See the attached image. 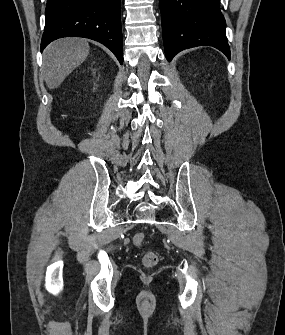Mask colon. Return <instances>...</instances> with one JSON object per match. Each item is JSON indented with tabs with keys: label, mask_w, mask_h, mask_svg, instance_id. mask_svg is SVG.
<instances>
[{
	"label": "colon",
	"mask_w": 285,
	"mask_h": 335,
	"mask_svg": "<svg viewBox=\"0 0 285 335\" xmlns=\"http://www.w3.org/2000/svg\"><path fill=\"white\" fill-rule=\"evenodd\" d=\"M133 242L137 247H142L146 243V235L142 232L136 233L133 237ZM159 261L157 253L149 251L143 256V265L147 268L154 267Z\"/></svg>",
	"instance_id": "5ec220e1"
}]
</instances>
